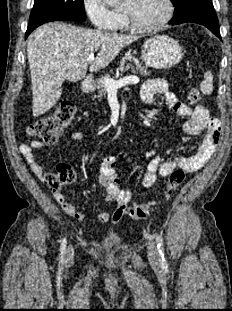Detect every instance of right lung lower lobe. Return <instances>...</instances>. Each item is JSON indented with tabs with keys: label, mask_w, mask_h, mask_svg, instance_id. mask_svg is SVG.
Listing matches in <instances>:
<instances>
[{
	"label": "right lung lower lobe",
	"mask_w": 232,
	"mask_h": 311,
	"mask_svg": "<svg viewBox=\"0 0 232 311\" xmlns=\"http://www.w3.org/2000/svg\"><path fill=\"white\" fill-rule=\"evenodd\" d=\"M59 20L83 21L73 16L64 15V14H52V15L43 16V17L29 21L28 28L26 31V37L38 26L46 22L59 21Z\"/></svg>",
	"instance_id": "1"
}]
</instances>
